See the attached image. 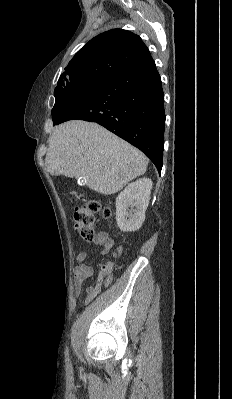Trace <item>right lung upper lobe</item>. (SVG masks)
Wrapping results in <instances>:
<instances>
[{"mask_svg":"<svg viewBox=\"0 0 232 399\" xmlns=\"http://www.w3.org/2000/svg\"><path fill=\"white\" fill-rule=\"evenodd\" d=\"M150 56L138 35L123 29L106 31L91 39L76 53L61 74L54 94L73 80L85 77L107 79Z\"/></svg>","mask_w":232,"mask_h":399,"instance_id":"1","label":"right lung upper lobe"}]
</instances>
